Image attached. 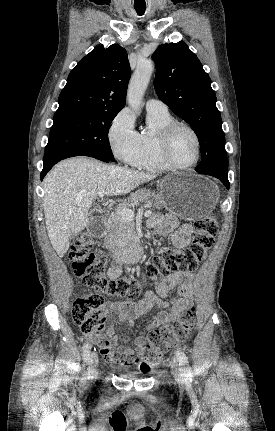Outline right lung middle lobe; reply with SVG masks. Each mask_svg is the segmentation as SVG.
<instances>
[{
  "label": "right lung middle lobe",
  "instance_id": "right-lung-middle-lobe-1",
  "mask_svg": "<svg viewBox=\"0 0 275 431\" xmlns=\"http://www.w3.org/2000/svg\"><path fill=\"white\" fill-rule=\"evenodd\" d=\"M118 111L77 110L55 113L46 152L86 149L114 161L108 140L110 124Z\"/></svg>",
  "mask_w": 275,
  "mask_h": 431
}]
</instances>
